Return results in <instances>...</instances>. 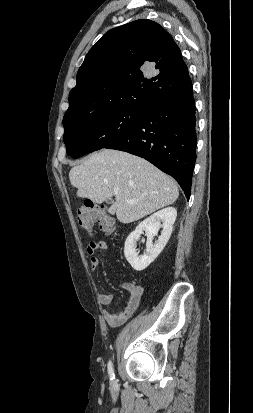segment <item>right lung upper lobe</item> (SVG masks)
I'll use <instances>...</instances> for the list:
<instances>
[{
  "label": "right lung upper lobe",
  "instance_id": "right-lung-upper-lobe-1",
  "mask_svg": "<svg viewBox=\"0 0 253 413\" xmlns=\"http://www.w3.org/2000/svg\"><path fill=\"white\" fill-rule=\"evenodd\" d=\"M150 62L158 74L145 77ZM191 84L172 36L150 20L109 30L90 49L69 95L63 124L113 109H140Z\"/></svg>",
  "mask_w": 253,
  "mask_h": 413
}]
</instances>
